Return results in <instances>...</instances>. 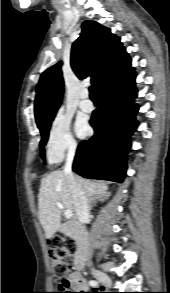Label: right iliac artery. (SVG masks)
<instances>
[{"instance_id":"obj_1","label":"right iliac artery","mask_w":170,"mask_h":293,"mask_svg":"<svg viewBox=\"0 0 170 293\" xmlns=\"http://www.w3.org/2000/svg\"><path fill=\"white\" fill-rule=\"evenodd\" d=\"M98 284H99V282L96 281V280H90L89 281V285L92 286V287H96V286H98Z\"/></svg>"}]
</instances>
